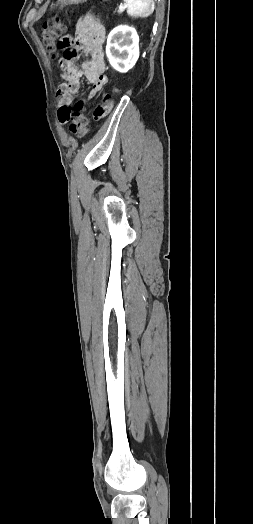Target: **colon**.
I'll return each mask as SVG.
<instances>
[{
	"label": "colon",
	"instance_id": "colon-1",
	"mask_svg": "<svg viewBox=\"0 0 253 524\" xmlns=\"http://www.w3.org/2000/svg\"><path fill=\"white\" fill-rule=\"evenodd\" d=\"M66 32L65 25L59 19H51L44 22L40 29V37L43 45L50 55L54 58L59 57L56 49L59 35ZM101 93L99 94L100 99ZM110 96H113L112 93ZM85 102L78 101L74 107L62 106L59 110V120L61 123H70L71 132L77 137H83L88 131L89 117L84 113Z\"/></svg>",
	"mask_w": 253,
	"mask_h": 524
}]
</instances>
